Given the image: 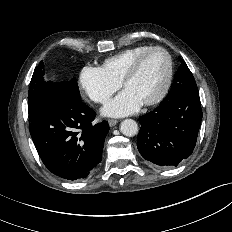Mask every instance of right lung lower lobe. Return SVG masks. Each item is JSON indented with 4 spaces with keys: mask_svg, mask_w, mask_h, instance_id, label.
<instances>
[{
    "mask_svg": "<svg viewBox=\"0 0 232 232\" xmlns=\"http://www.w3.org/2000/svg\"><path fill=\"white\" fill-rule=\"evenodd\" d=\"M95 116L67 83H52L29 121L37 152L50 172L67 180L93 172L109 131L107 121L93 123Z\"/></svg>",
    "mask_w": 232,
    "mask_h": 232,
    "instance_id": "1",
    "label": "right lung lower lobe"
}]
</instances>
